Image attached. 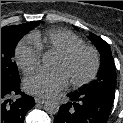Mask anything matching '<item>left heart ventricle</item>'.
<instances>
[{
  "mask_svg": "<svg viewBox=\"0 0 123 123\" xmlns=\"http://www.w3.org/2000/svg\"><path fill=\"white\" fill-rule=\"evenodd\" d=\"M93 65L92 56L88 52H80L69 60H63L56 56L53 63V69L61 70L68 81L80 80L91 71Z\"/></svg>",
  "mask_w": 123,
  "mask_h": 123,
  "instance_id": "left-heart-ventricle-1",
  "label": "left heart ventricle"
}]
</instances>
